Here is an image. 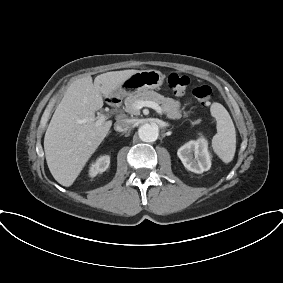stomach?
<instances>
[{"mask_svg":"<svg viewBox=\"0 0 283 283\" xmlns=\"http://www.w3.org/2000/svg\"><path fill=\"white\" fill-rule=\"evenodd\" d=\"M165 76L158 70H141L128 78L118 89L121 94H134L148 89H158Z\"/></svg>","mask_w":283,"mask_h":283,"instance_id":"obj_1","label":"stomach"}]
</instances>
